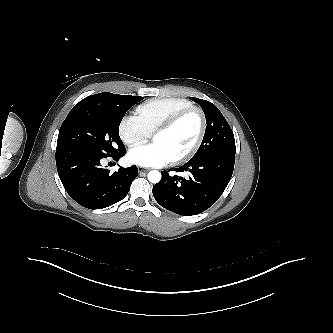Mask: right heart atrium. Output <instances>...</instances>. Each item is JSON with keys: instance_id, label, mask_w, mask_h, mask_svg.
Returning <instances> with one entry per match:
<instances>
[{"instance_id": "right-heart-atrium-1", "label": "right heart atrium", "mask_w": 333, "mask_h": 333, "mask_svg": "<svg viewBox=\"0 0 333 333\" xmlns=\"http://www.w3.org/2000/svg\"><path fill=\"white\" fill-rule=\"evenodd\" d=\"M118 133L124 144L130 148L145 143L151 135L141 119L133 114L125 115L121 119Z\"/></svg>"}]
</instances>
